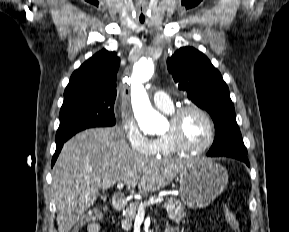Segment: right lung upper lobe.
Returning <instances> with one entry per match:
<instances>
[{"label":"right lung upper lobe","mask_w":289,"mask_h":232,"mask_svg":"<svg viewBox=\"0 0 289 232\" xmlns=\"http://www.w3.org/2000/svg\"><path fill=\"white\" fill-rule=\"evenodd\" d=\"M120 59L115 52L99 51L72 74L65 101L77 97L106 96L116 98V73Z\"/></svg>","instance_id":"obj_1"}]
</instances>
